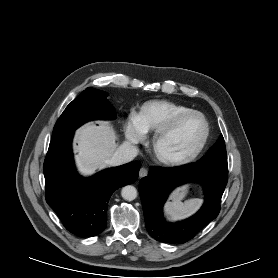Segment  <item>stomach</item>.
<instances>
[{
    "label": "stomach",
    "mask_w": 278,
    "mask_h": 278,
    "mask_svg": "<svg viewBox=\"0 0 278 278\" xmlns=\"http://www.w3.org/2000/svg\"><path fill=\"white\" fill-rule=\"evenodd\" d=\"M186 193H187V188L185 187L173 193L171 198L173 200H181L186 195Z\"/></svg>",
    "instance_id": "obj_1"
}]
</instances>
